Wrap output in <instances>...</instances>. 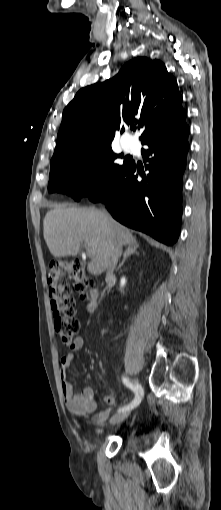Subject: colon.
I'll return each mask as SVG.
<instances>
[{
  "instance_id": "colon-1",
  "label": "colon",
  "mask_w": 221,
  "mask_h": 510,
  "mask_svg": "<svg viewBox=\"0 0 221 510\" xmlns=\"http://www.w3.org/2000/svg\"><path fill=\"white\" fill-rule=\"evenodd\" d=\"M69 279L82 298L92 287V280L86 275L82 263L78 260L53 261L48 267V290L53 311L54 328L61 341L70 345L77 335L80 323L76 317L74 298L71 296Z\"/></svg>"
}]
</instances>
